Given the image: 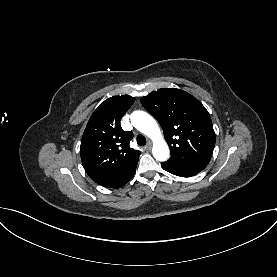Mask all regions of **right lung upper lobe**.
<instances>
[{"label": "right lung upper lobe", "mask_w": 277, "mask_h": 277, "mask_svg": "<svg viewBox=\"0 0 277 277\" xmlns=\"http://www.w3.org/2000/svg\"><path fill=\"white\" fill-rule=\"evenodd\" d=\"M129 95L114 96L94 111L83 133L80 155L89 177L106 188H120L135 172L140 151L130 148L132 132L120 120L134 102Z\"/></svg>", "instance_id": "obj_1"}]
</instances>
